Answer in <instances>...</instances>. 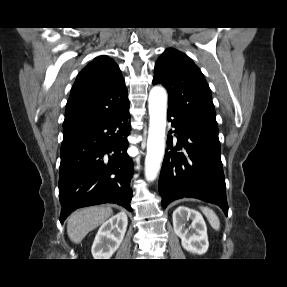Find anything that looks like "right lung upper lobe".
I'll list each match as a JSON object with an SVG mask.
<instances>
[{
	"label": "right lung upper lobe",
	"instance_id": "obj_1",
	"mask_svg": "<svg viewBox=\"0 0 287 287\" xmlns=\"http://www.w3.org/2000/svg\"><path fill=\"white\" fill-rule=\"evenodd\" d=\"M118 65L98 56L78 74L68 99L63 127L86 124L112 114L129 103Z\"/></svg>",
	"mask_w": 287,
	"mask_h": 287
}]
</instances>
